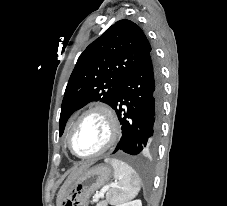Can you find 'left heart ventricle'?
<instances>
[{
    "mask_svg": "<svg viewBox=\"0 0 227 206\" xmlns=\"http://www.w3.org/2000/svg\"><path fill=\"white\" fill-rule=\"evenodd\" d=\"M109 127L106 119L99 113L86 116L76 127L71 138L73 151L78 155L91 154L107 141Z\"/></svg>",
    "mask_w": 227,
    "mask_h": 206,
    "instance_id": "left-heart-ventricle-1",
    "label": "left heart ventricle"
}]
</instances>
